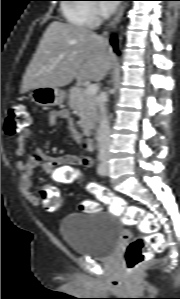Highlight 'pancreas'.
I'll list each match as a JSON object with an SVG mask.
<instances>
[{
    "label": "pancreas",
    "mask_w": 180,
    "mask_h": 299,
    "mask_svg": "<svg viewBox=\"0 0 180 299\" xmlns=\"http://www.w3.org/2000/svg\"><path fill=\"white\" fill-rule=\"evenodd\" d=\"M80 86L81 84H77L71 87L69 106L77 111L78 116L81 118L79 125L83 129H89L97 116L96 97L86 94Z\"/></svg>",
    "instance_id": "obj_1"
}]
</instances>
